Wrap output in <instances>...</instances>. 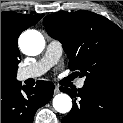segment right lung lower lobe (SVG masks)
<instances>
[{"label":"right lung lower lobe","mask_w":123,"mask_h":123,"mask_svg":"<svg viewBox=\"0 0 123 123\" xmlns=\"http://www.w3.org/2000/svg\"><path fill=\"white\" fill-rule=\"evenodd\" d=\"M54 92V84L38 81L33 87L21 82L1 83V123H32L38 108L48 103Z\"/></svg>","instance_id":"1"}]
</instances>
